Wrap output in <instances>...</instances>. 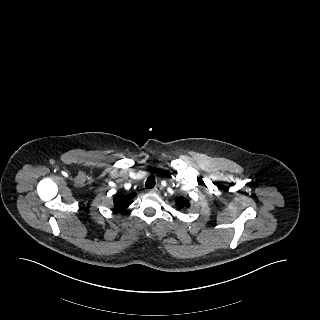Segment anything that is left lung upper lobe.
<instances>
[{"instance_id": "1", "label": "left lung upper lobe", "mask_w": 320, "mask_h": 320, "mask_svg": "<svg viewBox=\"0 0 320 320\" xmlns=\"http://www.w3.org/2000/svg\"><path fill=\"white\" fill-rule=\"evenodd\" d=\"M176 206L178 209H182V208H189L190 203L188 202V200L184 197H178L176 199Z\"/></svg>"}]
</instances>
